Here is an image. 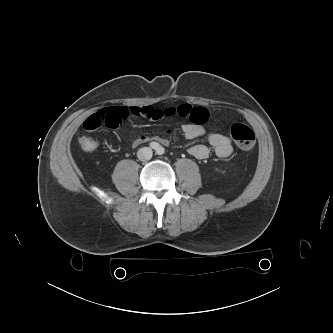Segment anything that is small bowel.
I'll return each instance as SVG.
<instances>
[{
    "mask_svg": "<svg viewBox=\"0 0 333 333\" xmlns=\"http://www.w3.org/2000/svg\"><path fill=\"white\" fill-rule=\"evenodd\" d=\"M129 115L140 116L150 120H161L168 115H178L187 119V122L181 126L185 137L196 139L205 134L203 124L208 120L209 112L205 107L194 106L189 103H183L176 108L168 110L155 109L150 106L109 107L88 116L83 122V127L87 131H94L102 124H106L110 128H118ZM169 134L170 131H168L167 136L140 135L133 140L132 144L138 146L155 140L167 145L169 143ZM188 152L197 159H206L211 152H214L218 157L226 158L232 154L233 144L231 139L223 134L210 133L207 136V144H195L189 148Z\"/></svg>",
    "mask_w": 333,
    "mask_h": 333,
    "instance_id": "obj_1",
    "label": "small bowel"
}]
</instances>
